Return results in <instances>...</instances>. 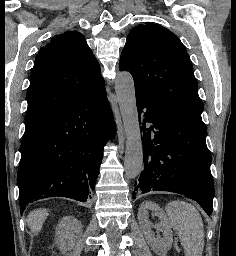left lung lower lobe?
I'll return each instance as SVG.
<instances>
[{
	"mask_svg": "<svg viewBox=\"0 0 236 256\" xmlns=\"http://www.w3.org/2000/svg\"><path fill=\"white\" fill-rule=\"evenodd\" d=\"M145 168L135 184L136 194L171 191L189 197L210 215L214 182L211 156L202 119L136 94ZM143 109H147L145 112ZM146 122L152 123L145 128Z\"/></svg>",
	"mask_w": 236,
	"mask_h": 256,
	"instance_id": "left-lung-lower-lobe-1",
	"label": "left lung lower lobe"
}]
</instances>
